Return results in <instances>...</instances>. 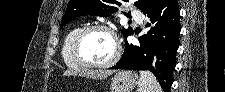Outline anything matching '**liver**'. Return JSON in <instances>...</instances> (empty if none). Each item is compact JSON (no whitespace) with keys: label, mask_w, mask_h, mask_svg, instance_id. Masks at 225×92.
Segmentation results:
<instances>
[{"label":"liver","mask_w":225,"mask_h":92,"mask_svg":"<svg viewBox=\"0 0 225 92\" xmlns=\"http://www.w3.org/2000/svg\"><path fill=\"white\" fill-rule=\"evenodd\" d=\"M114 71L112 70H89V69H84V70H73V69H68L63 73V76H81V77H86L94 80H101L105 79L108 76L112 75Z\"/></svg>","instance_id":"1"}]
</instances>
